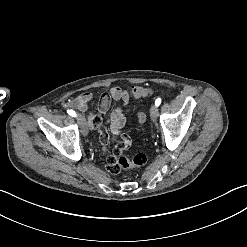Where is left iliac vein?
Masks as SVG:
<instances>
[{
	"label": "left iliac vein",
	"instance_id": "obj_1",
	"mask_svg": "<svg viewBox=\"0 0 247 247\" xmlns=\"http://www.w3.org/2000/svg\"><path fill=\"white\" fill-rule=\"evenodd\" d=\"M150 117L153 122L157 121L158 118V110L155 105H151L150 107Z\"/></svg>",
	"mask_w": 247,
	"mask_h": 247
}]
</instances>
